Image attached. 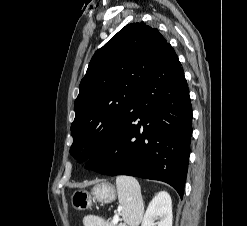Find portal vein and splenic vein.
<instances>
[{"mask_svg":"<svg viewBox=\"0 0 247 226\" xmlns=\"http://www.w3.org/2000/svg\"><path fill=\"white\" fill-rule=\"evenodd\" d=\"M119 215L118 214H115L114 217H113V220H112V223H117L119 221Z\"/></svg>","mask_w":247,"mask_h":226,"instance_id":"1","label":"portal vein and splenic vein"}]
</instances>
